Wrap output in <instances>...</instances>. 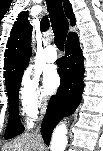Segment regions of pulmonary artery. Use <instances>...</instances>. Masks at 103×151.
<instances>
[{
    "mask_svg": "<svg viewBox=\"0 0 103 151\" xmlns=\"http://www.w3.org/2000/svg\"><path fill=\"white\" fill-rule=\"evenodd\" d=\"M45 60L49 63H53L57 60V52L53 45H48L44 50Z\"/></svg>",
    "mask_w": 103,
    "mask_h": 151,
    "instance_id": "obj_1",
    "label": "pulmonary artery"
}]
</instances>
